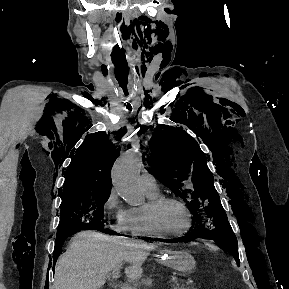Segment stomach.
Returning <instances> with one entry per match:
<instances>
[{"instance_id": "1", "label": "stomach", "mask_w": 289, "mask_h": 289, "mask_svg": "<svg viewBox=\"0 0 289 289\" xmlns=\"http://www.w3.org/2000/svg\"><path fill=\"white\" fill-rule=\"evenodd\" d=\"M163 263L185 275L191 274L196 266L194 257L184 250L166 252V258L163 259Z\"/></svg>"}]
</instances>
